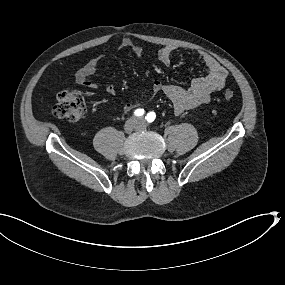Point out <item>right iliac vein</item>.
Returning a JSON list of instances; mask_svg holds the SVG:
<instances>
[{
	"instance_id": "63e3f726",
	"label": "right iliac vein",
	"mask_w": 285,
	"mask_h": 285,
	"mask_svg": "<svg viewBox=\"0 0 285 285\" xmlns=\"http://www.w3.org/2000/svg\"><path fill=\"white\" fill-rule=\"evenodd\" d=\"M135 129V123L132 121H127L125 124V131L132 132Z\"/></svg>"
}]
</instances>
